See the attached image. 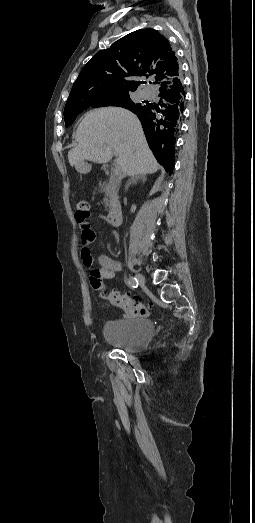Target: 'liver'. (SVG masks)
Listing matches in <instances>:
<instances>
[{
    "mask_svg": "<svg viewBox=\"0 0 255 523\" xmlns=\"http://www.w3.org/2000/svg\"><path fill=\"white\" fill-rule=\"evenodd\" d=\"M77 146L68 152L70 166L80 174H87L84 160L107 164L113 152L124 176L154 174L159 164L144 136L135 114L123 108H99L86 114L74 136Z\"/></svg>",
    "mask_w": 255,
    "mask_h": 523,
    "instance_id": "1",
    "label": "liver"
}]
</instances>
